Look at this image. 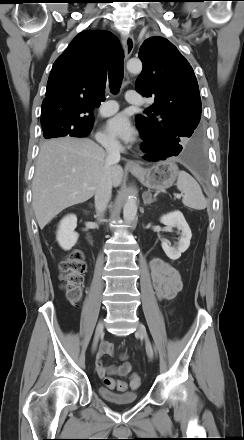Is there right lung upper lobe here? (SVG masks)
I'll return each instance as SVG.
<instances>
[{
  "mask_svg": "<svg viewBox=\"0 0 244 440\" xmlns=\"http://www.w3.org/2000/svg\"><path fill=\"white\" fill-rule=\"evenodd\" d=\"M118 46V39L109 31L79 33L53 64L41 121L59 120L75 126L93 122L90 111L104 100L107 65Z\"/></svg>",
  "mask_w": 244,
  "mask_h": 440,
  "instance_id": "1",
  "label": "right lung upper lobe"
}]
</instances>
